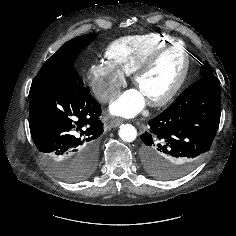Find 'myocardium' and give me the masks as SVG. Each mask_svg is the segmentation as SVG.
I'll return each mask as SVG.
<instances>
[{
  "label": "myocardium",
  "mask_w": 236,
  "mask_h": 236,
  "mask_svg": "<svg viewBox=\"0 0 236 236\" xmlns=\"http://www.w3.org/2000/svg\"><path fill=\"white\" fill-rule=\"evenodd\" d=\"M180 45L182 47L183 64L180 75L172 87L163 95L148 99V103L153 107H160L170 102L181 90L189 74L190 58L188 50L182 41L174 40L151 53L132 73V82L137 86L139 79L147 73L158 59L173 47Z\"/></svg>",
  "instance_id": "obj_1"
}]
</instances>
